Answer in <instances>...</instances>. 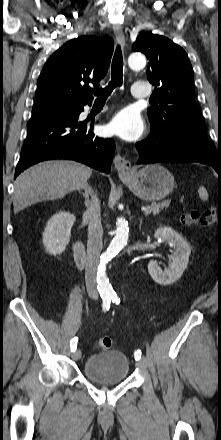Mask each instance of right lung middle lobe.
Returning <instances> with one entry per match:
<instances>
[{"label": "right lung middle lobe", "instance_id": "dd1d6c3e", "mask_svg": "<svg viewBox=\"0 0 221 440\" xmlns=\"http://www.w3.org/2000/svg\"><path fill=\"white\" fill-rule=\"evenodd\" d=\"M65 109H68V108H59V109H53V110H47V111L65 110ZM47 111H39V112H36V113L32 112V114H38V113L47 112Z\"/></svg>", "mask_w": 221, "mask_h": 440}]
</instances>
